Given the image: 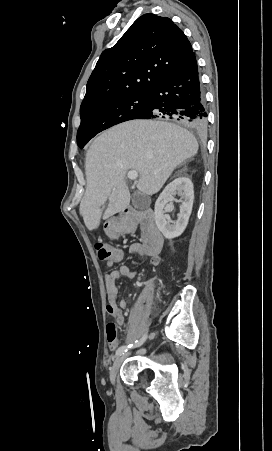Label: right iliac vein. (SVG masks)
I'll return each mask as SVG.
<instances>
[{
  "label": "right iliac vein",
  "mask_w": 272,
  "mask_h": 451,
  "mask_svg": "<svg viewBox=\"0 0 272 451\" xmlns=\"http://www.w3.org/2000/svg\"><path fill=\"white\" fill-rule=\"evenodd\" d=\"M128 355V353L120 355L117 357V359L115 360L111 370H110V380L113 383L115 380V377L117 375L118 370L120 369L124 359L126 358V356Z\"/></svg>",
  "instance_id": "1"
}]
</instances>
